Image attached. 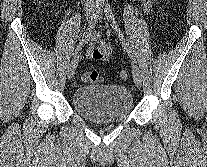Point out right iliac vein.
<instances>
[{
    "mask_svg": "<svg viewBox=\"0 0 207 167\" xmlns=\"http://www.w3.org/2000/svg\"><path fill=\"white\" fill-rule=\"evenodd\" d=\"M90 14H91V11L88 10L87 11V19H88V22H90ZM77 62H78V59L77 57H75L71 63L69 64V67H68V72H67V75H68V79H72L74 74H75V70H76V66H77Z\"/></svg>",
    "mask_w": 207,
    "mask_h": 167,
    "instance_id": "63e3f726",
    "label": "right iliac vein"
}]
</instances>
